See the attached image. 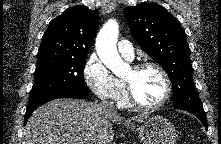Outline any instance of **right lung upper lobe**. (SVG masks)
<instances>
[{
    "label": "right lung upper lobe",
    "instance_id": "cb5924a9",
    "mask_svg": "<svg viewBox=\"0 0 221 144\" xmlns=\"http://www.w3.org/2000/svg\"><path fill=\"white\" fill-rule=\"evenodd\" d=\"M99 25L97 10L70 7L50 21L37 56H87Z\"/></svg>",
    "mask_w": 221,
    "mask_h": 144
}]
</instances>
